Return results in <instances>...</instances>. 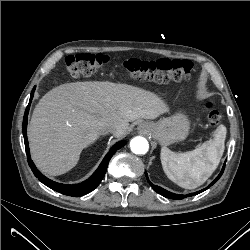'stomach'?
Here are the masks:
<instances>
[{"label":"stomach","instance_id":"1","mask_svg":"<svg viewBox=\"0 0 250 250\" xmlns=\"http://www.w3.org/2000/svg\"><path fill=\"white\" fill-rule=\"evenodd\" d=\"M146 124L149 127L148 134L163 146L184 140L190 129V122L183 113Z\"/></svg>","mask_w":250,"mask_h":250}]
</instances>
